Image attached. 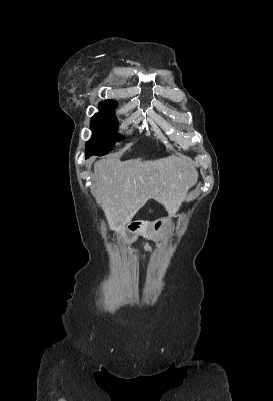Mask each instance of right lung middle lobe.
Returning a JSON list of instances; mask_svg holds the SVG:
<instances>
[{
  "instance_id": "obj_1",
  "label": "right lung middle lobe",
  "mask_w": 273,
  "mask_h": 401,
  "mask_svg": "<svg viewBox=\"0 0 273 401\" xmlns=\"http://www.w3.org/2000/svg\"><path fill=\"white\" fill-rule=\"evenodd\" d=\"M101 112L91 118L90 127L93 135L86 144V157L93 154L104 155L112 150L115 142L122 140L116 133L118 121L112 106L99 105Z\"/></svg>"
}]
</instances>
